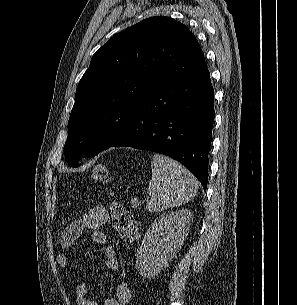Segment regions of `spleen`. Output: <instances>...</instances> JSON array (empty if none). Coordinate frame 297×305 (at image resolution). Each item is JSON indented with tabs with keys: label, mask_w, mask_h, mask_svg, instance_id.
<instances>
[{
	"label": "spleen",
	"mask_w": 297,
	"mask_h": 305,
	"mask_svg": "<svg viewBox=\"0 0 297 305\" xmlns=\"http://www.w3.org/2000/svg\"><path fill=\"white\" fill-rule=\"evenodd\" d=\"M146 208L160 212L189 202L198 192L196 178L175 160L154 154Z\"/></svg>",
	"instance_id": "spleen-1"
}]
</instances>
